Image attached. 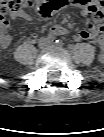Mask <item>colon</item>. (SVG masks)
I'll return each mask as SVG.
<instances>
[{
    "label": "colon",
    "mask_w": 104,
    "mask_h": 137,
    "mask_svg": "<svg viewBox=\"0 0 104 137\" xmlns=\"http://www.w3.org/2000/svg\"><path fill=\"white\" fill-rule=\"evenodd\" d=\"M70 0H5L1 6L0 32L1 36L9 33L8 17L16 16L26 10L35 8L43 17H49L55 10L69 3ZM101 4L102 0H96ZM0 36V37H1Z\"/></svg>",
    "instance_id": "obj_1"
}]
</instances>
